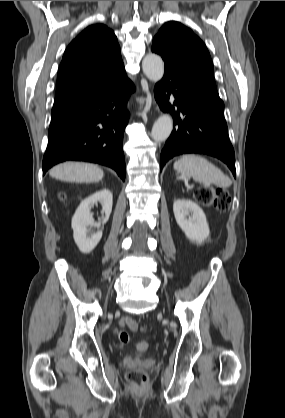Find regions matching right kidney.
<instances>
[{"label": "right kidney", "mask_w": 285, "mask_h": 418, "mask_svg": "<svg viewBox=\"0 0 285 418\" xmlns=\"http://www.w3.org/2000/svg\"><path fill=\"white\" fill-rule=\"evenodd\" d=\"M100 203L102 205V214L104 217L102 221L95 223L93 221L91 208ZM113 195L108 189H102L88 198L84 199L77 208L72 218V229L75 243L82 253H90L99 243L102 237V231L98 230L96 233L88 236V227L99 228L101 224H105L112 211Z\"/></svg>", "instance_id": "ca27d5eb"}]
</instances>
